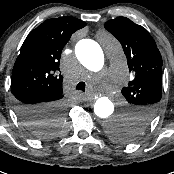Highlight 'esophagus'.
I'll use <instances>...</instances> for the list:
<instances>
[{
    "mask_svg": "<svg viewBox=\"0 0 174 174\" xmlns=\"http://www.w3.org/2000/svg\"><path fill=\"white\" fill-rule=\"evenodd\" d=\"M93 97H96V96H93V95H92L91 97L84 98L83 100H85V101H86V100H91Z\"/></svg>",
    "mask_w": 174,
    "mask_h": 174,
    "instance_id": "1",
    "label": "esophagus"
}]
</instances>
